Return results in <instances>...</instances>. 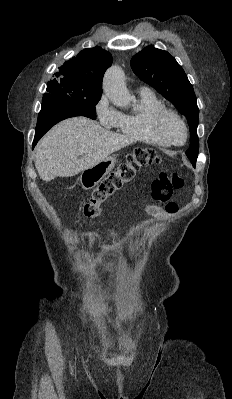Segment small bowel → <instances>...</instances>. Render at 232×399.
<instances>
[{
  "label": "small bowel",
  "mask_w": 232,
  "mask_h": 399,
  "mask_svg": "<svg viewBox=\"0 0 232 399\" xmlns=\"http://www.w3.org/2000/svg\"><path fill=\"white\" fill-rule=\"evenodd\" d=\"M148 211L153 215L159 214V209L156 206H149Z\"/></svg>",
  "instance_id": "small-bowel-1"
}]
</instances>
